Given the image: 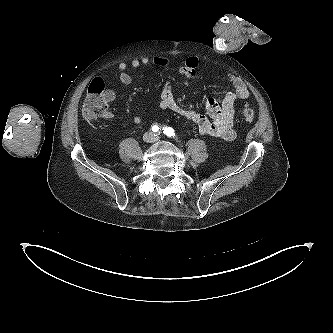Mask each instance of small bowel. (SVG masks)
<instances>
[{"label": "small bowel", "mask_w": 333, "mask_h": 333, "mask_svg": "<svg viewBox=\"0 0 333 333\" xmlns=\"http://www.w3.org/2000/svg\"><path fill=\"white\" fill-rule=\"evenodd\" d=\"M169 63V59L160 56L135 58L130 62H121L118 65L119 80L124 86H129L132 83V77L128 73L129 69H138L141 66L149 64L167 66ZM198 66L199 60L196 57H189L179 66L178 71L182 75L193 77L196 74ZM227 78L234 90L225 94L221 104L213 98H207L203 103L209 118L180 104L174 97L168 82L165 83L162 88L158 108L160 110L176 112L187 118L197 126L199 132L203 135L222 138L227 141L233 140L236 136L233 129L235 103L238 99H247L249 97V91L246 84L239 77L233 74H227ZM104 97L107 103H111L116 99L117 94L114 90L107 89L104 92ZM112 117L113 114L111 112H107L104 116V118L107 119ZM133 121L136 124H141L143 117L137 115L134 117Z\"/></svg>", "instance_id": "obj_1"}]
</instances>
